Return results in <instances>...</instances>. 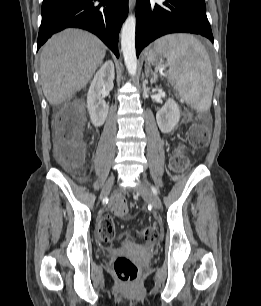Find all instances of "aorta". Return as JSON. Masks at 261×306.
Returning <instances> with one entry per match:
<instances>
[{
    "instance_id": "aorta-1",
    "label": "aorta",
    "mask_w": 261,
    "mask_h": 306,
    "mask_svg": "<svg viewBox=\"0 0 261 306\" xmlns=\"http://www.w3.org/2000/svg\"><path fill=\"white\" fill-rule=\"evenodd\" d=\"M136 18L128 16L121 30V50L123 52L125 66L131 76L137 71V57L135 50Z\"/></svg>"
}]
</instances>
